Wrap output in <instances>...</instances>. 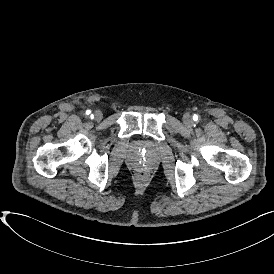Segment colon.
I'll return each mask as SVG.
<instances>
[{
    "instance_id": "1",
    "label": "colon",
    "mask_w": 274,
    "mask_h": 274,
    "mask_svg": "<svg viewBox=\"0 0 274 274\" xmlns=\"http://www.w3.org/2000/svg\"><path fill=\"white\" fill-rule=\"evenodd\" d=\"M140 175H141V176H144V175H145V173H141Z\"/></svg>"
}]
</instances>
